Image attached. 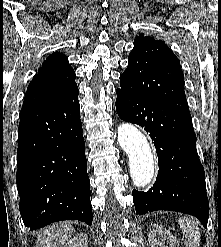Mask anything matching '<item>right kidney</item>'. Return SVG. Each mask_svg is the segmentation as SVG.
Wrapping results in <instances>:
<instances>
[{
	"label": "right kidney",
	"mask_w": 221,
	"mask_h": 247,
	"mask_svg": "<svg viewBox=\"0 0 221 247\" xmlns=\"http://www.w3.org/2000/svg\"><path fill=\"white\" fill-rule=\"evenodd\" d=\"M64 247H88V237L86 234H78L69 240Z\"/></svg>",
	"instance_id": "right-kidney-1"
}]
</instances>
